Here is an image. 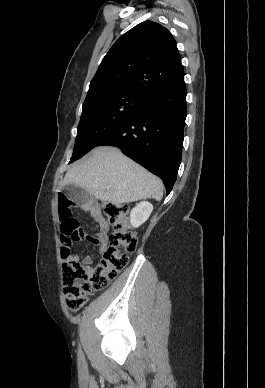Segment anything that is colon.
Segmentation results:
<instances>
[{"instance_id": "colon-1", "label": "colon", "mask_w": 265, "mask_h": 388, "mask_svg": "<svg viewBox=\"0 0 265 388\" xmlns=\"http://www.w3.org/2000/svg\"><path fill=\"white\" fill-rule=\"evenodd\" d=\"M58 210L64 296L68 309L77 311L87 302L92 291L105 288L126 267L129 254L136 249L137 240L130 230L127 206L105 203L104 214L114 228L109 236V246L99 265L91 267L82 264L71 256V244L85 239L87 235L74 219L72 202L64 194L58 197Z\"/></svg>"}]
</instances>
